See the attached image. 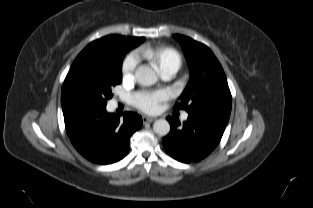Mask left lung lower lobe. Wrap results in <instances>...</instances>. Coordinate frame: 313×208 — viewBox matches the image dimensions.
I'll return each instance as SVG.
<instances>
[{
  "instance_id": "left-lung-lower-lobe-1",
  "label": "left lung lower lobe",
  "mask_w": 313,
  "mask_h": 208,
  "mask_svg": "<svg viewBox=\"0 0 313 208\" xmlns=\"http://www.w3.org/2000/svg\"><path fill=\"white\" fill-rule=\"evenodd\" d=\"M170 133L162 139L166 152L174 159L184 162H198L208 156L219 144L228 120L210 114H189L186 123L167 117Z\"/></svg>"
}]
</instances>
